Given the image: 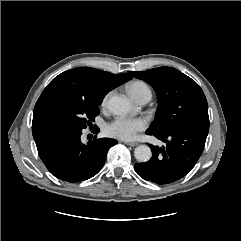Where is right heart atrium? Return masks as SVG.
Returning <instances> with one entry per match:
<instances>
[{"mask_svg": "<svg viewBox=\"0 0 241 241\" xmlns=\"http://www.w3.org/2000/svg\"><path fill=\"white\" fill-rule=\"evenodd\" d=\"M112 96V91L108 92L107 94L104 95L102 102H101V106L103 108H106L109 102L110 97Z\"/></svg>", "mask_w": 241, "mask_h": 241, "instance_id": "1", "label": "right heart atrium"}]
</instances>
